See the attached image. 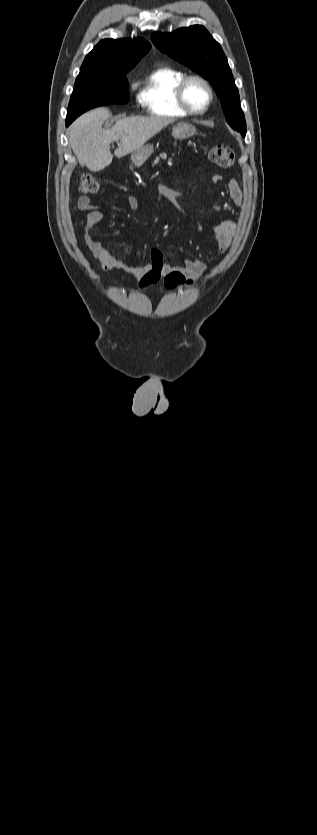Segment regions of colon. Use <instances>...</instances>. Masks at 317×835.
I'll return each mask as SVG.
<instances>
[{
	"mask_svg": "<svg viewBox=\"0 0 317 835\" xmlns=\"http://www.w3.org/2000/svg\"><path fill=\"white\" fill-rule=\"evenodd\" d=\"M210 159L220 167L228 168L232 166L234 161V152L228 145H216L210 151ZM100 190V184L90 174H82L79 177V191L85 194H94ZM164 285L168 289H174L178 286H190L192 280H187L186 277L178 270H171L164 276Z\"/></svg>",
	"mask_w": 317,
	"mask_h": 835,
	"instance_id": "colon-1",
	"label": "colon"
}]
</instances>
